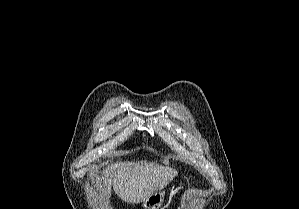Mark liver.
Listing matches in <instances>:
<instances>
[{"mask_svg": "<svg viewBox=\"0 0 299 209\" xmlns=\"http://www.w3.org/2000/svg\"><path fill=\"white\" fill-rule=\"evenodd\" d=\"M177 171L156 162H121L106 170L102 176L104 193H115L125 202L140 203L163 189L176 176Z\"/></svg>", "mask_w": 299, "mask_h": 209, "instance_id": "1", "label": "liver"}]
</instances>
